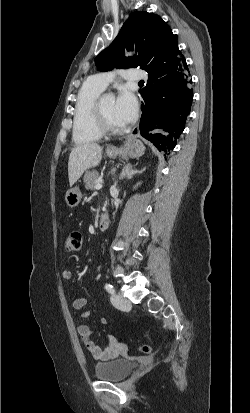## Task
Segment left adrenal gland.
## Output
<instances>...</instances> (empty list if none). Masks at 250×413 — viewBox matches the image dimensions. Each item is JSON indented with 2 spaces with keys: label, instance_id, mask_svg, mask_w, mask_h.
I'll return each mask as SVG.
<instances>
[{
  "label": "left adrenal gland",
  "instance_id": "obj_1",
  "mask_svg": "<svg viewBox=\"0 0 250 413\" xmlns=\"http://www.w3.org/2000/svg\"><path fill=\"white\" fill-rule=\"evenodd\" d=\"M144 171V169H142V170H133V169H126V170H123V172H122V174H121V178H124V177H126V178H128V179H130V178H132V176H134L135 174H138V173H142Z\"/></svg>",
  "mask_w": 250,
  "mask_h": 413
}]
</instances>
